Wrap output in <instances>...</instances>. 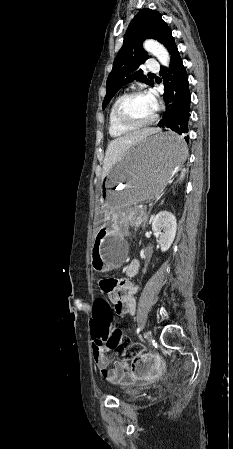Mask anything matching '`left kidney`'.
<instances>
[{
    "instance_id": "left-kidney-1",
    "label": "left kidney",
    "mask_w": 233,
    "mask_h": 449,
    "mask_svg": "<svg viewBox=\"0 0 233 449\" xmlns=\"http://www.w3.org/2000/svg\"><path fill=\"white\" fill-rule=\"evenodd\" d=\"M152 229L159 234L161 251H167L176 235L177 222L175 216L168 211L159 212L152 219Z\"/></svg>"
}]
</instances>
